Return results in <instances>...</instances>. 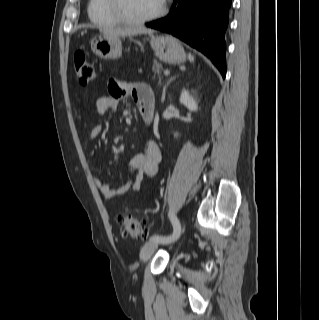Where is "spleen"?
<instances>
[{"label":"spleen","mask_w":319,"mask_h":320,"mask_svg":"<svg viewBox=\"0 0 319 320\" xmlns=\"http://www.w3.org/2000/svg\"><path fill=\"white\" fill-rule=\"evenodd\" d=\"M188 59L190 62H194V56H192L190 53L188 54Z\"/></svg>","instance_id":"obj_1"}]
</instances>
